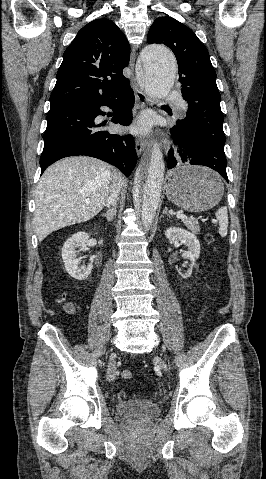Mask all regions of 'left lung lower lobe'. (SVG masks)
Masks as SVG:
<instances>
[{
  "mask_svg": "<svg viewBox=\"0 0 266 479\" xmlns=\"http://www.w3.org/2000/svg\"><path fill=\"white\" fill-rule=\"evenodd\" d=\"M171 134L174 138V142L177 144V149L175 151L170 150L168 152V169L175 167L176 164L181 161L194 165H204L217 171L228 182L226 173V160L219 159L207 163L197 153V150L191 147L184 134L178 128L174 126L171 129Z\"/></svg>",
  "mask_w": 266,
  "mask_h": 479,
  "instance_id": "obj_1",
  "label": "left lung lower lobe"
}]
</instances>
